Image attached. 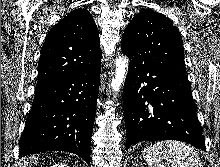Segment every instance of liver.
<instances>
[{"mask_svg":"<svg viewBox=\"0 0 220 167\" xmlns=\"http://www.w3.org/2000/svg\"><path fill=\"white\" fill-rule=\"evenodd\" d=\"M36 160H37L36 157H31V158L29 159V162H28V160H27V161H24V164H22L20 167H28V166H29V167H32V165L36 163Z\"/></svg>","mask_w":220,"mask_h":167,"instance_id":"obj_1","label":"liver"}]
</instances>
